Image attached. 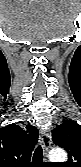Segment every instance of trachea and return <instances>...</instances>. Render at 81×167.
<instances>
[{
	"mask_svg": "<svg viewBox=\"0 0 81 167\" xmlns=\"http://www.w3.org/2000/svg\"><path fill=\"white\" fill-rule=\"evenodd\" d=\"M42 160H43V150H42V147L39 145L37 146L33 154V162L38 163V162H42Z\"/></svg>",
	"mask_w": 81,
	"mask_h": 167,
	"instance_id": "obj_1",
	"label": "trachea"
}]
</instances>
